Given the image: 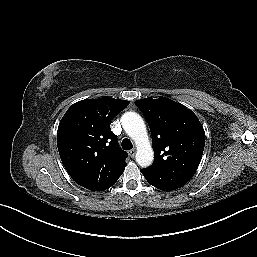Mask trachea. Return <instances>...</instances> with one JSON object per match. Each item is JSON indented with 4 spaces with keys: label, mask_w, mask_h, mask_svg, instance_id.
Listing matches in <instances>:
<instances>
[{
    "label": "trachea",
    "mask_w": 257,
    "mask_h": 257,
    "mask_svg": "<svg viewBox=\"0 0 257 257\" xmlns=\"http://www.w3.org/2000/svg\"><path fill=\"white\" fill-rule=\"evenodd\" d=\"M121 146H122V148L124 150H129V149H131L133 147V144H132V142L129 139L125 138L122 141Z\"/></svg>",
    "instance_id": "3493384b"
}]
</instances>
